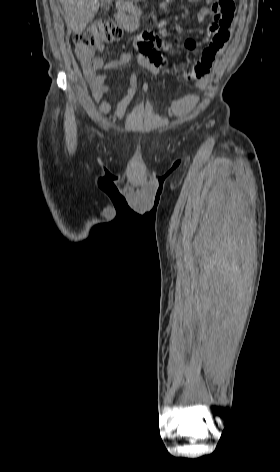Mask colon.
<instances>
[{
    "mask_svg": "<svg viewBox=\"0 0 280 472\" xmlns=\"http://www.w3.org/2000/svg\"><path fill=\"white\" fill-rule=\"evenodd\" d=\"M235 0H214L211 7L213 23L216 26L229 25L235 13ZM121 27L111 20L100 19L90 23L84 30L76 33L73 41L76 45L92 49L104 43L115 42L121 39Z\"/></svg>",
    "mask_w": 280,
    "mask_h": 472,
    "instance_id": "1",
    "label": "colon"
}]
</instances>
